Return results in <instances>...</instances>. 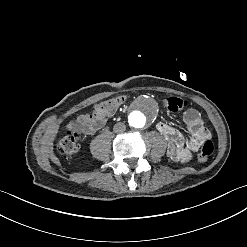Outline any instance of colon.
<instances>
[{
    "mask_svg": "<svg viewBox=\"0 0 247 247\" xmlns=\"http://www.w3.org/2000/svg\"><path fill=\"white\" fill-rule=\"evenodd\" d=\"M125 96H106L104 100H100L98 103L99 113L96 116L98 122H107L109 116L115 115L116 105H125ZM165 109L171 112H178L186 106V102L183 99L176 97H167L163 101ZM78 135L73 131H68L61 138L59 143V152L66 156L72 157L78 152ZM214 150V144L212 139L208 142H203L198 154V160L200 163H205Z\"/></svg>",
    "mask_w": 247,
    "mask_h": 247,
    "instance_id": "colon-1",
    "label": "colon"
}]
</instances>
